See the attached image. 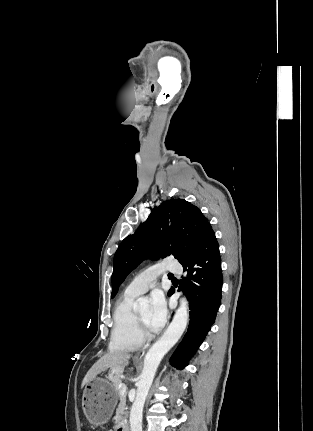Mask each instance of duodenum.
<instances>
[{
  "label": "duodenum",
  "instance_id": "410a0bca",
  "mask_svg": "<svg viewBox=\"0 0 313 431\" xmlns=\"http://www.w3.org/2000/svg\"><path fill=\"white\" fill-rule=\"evenodd\" d=\"M117 431H129L128 423L123 421L118 425Z\"/></svg>",
  "mask_w": 313,
  "mask_h": 431
}]
</instances>
